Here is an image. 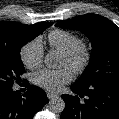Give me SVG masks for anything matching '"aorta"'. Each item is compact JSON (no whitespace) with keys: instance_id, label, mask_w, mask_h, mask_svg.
I'll return each instance as SVG.
<instances>
[{"instance_id":"762f6f07","label":"aorta","mask_w":119,"mask_h":119,"mask_svg":"<svg viewBox=\"0 0 119 119\" xmlns=\"http://www.w3.org/2000/svg\"><path fill=\"white\" fill-rule=\"evenodd\" d=\"M44 63L48 68H56L58 61L56 55L48 53L44 58ZM50 110L54 113H61L65 109V102L59 96H54L49 102Z\"/></svg>"}]
</instances>
